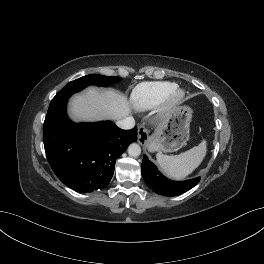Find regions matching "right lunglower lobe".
Segmentation results:
<instances>
[{
	"label": "right lung lower lobe",
	"mask_w": 264,
	"mask_h": 264,
	"mask_svg": "<svg viewBox=\"0 0 264 264\" xmlns=\"http://www.w3.org/2000/svg\"><path fill=\"white\" fill-rule=\"evenodd\" d=\"M66 102L44 121V147L56 176L68 187L87 193L108 186L116 159L137 140V129L122 130L110 121L73 123Z\"/></svg>",
	"instance_id": "right-lung-lower-lobe-1"
}]
</instances>
